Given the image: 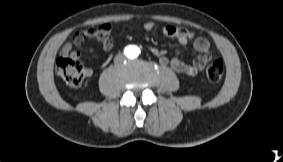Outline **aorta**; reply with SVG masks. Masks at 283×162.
<instances>
[{"label": "aorta", "instance_id": "1", "mask_svg": "<svg viewBox=\"0 0 283 162\" xmlns=\"http://www.w3.org/2000/svg\"><path fill=\"white\" fill-rule=\"evenodd\" d=\"M127 51H128V54L131 58H135L139 54V49L136 46H129Z\"/></svg>", "mask_w": 283, "mask_h": 162}]
</instances>
